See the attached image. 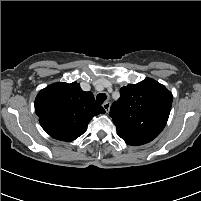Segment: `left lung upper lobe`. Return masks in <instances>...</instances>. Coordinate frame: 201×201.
<instances>
[{
    "instance_id": "obj_1",
    "label": "left lung upper lobe",
    "mask_w": 201,
    "mask_h": 201,
    "mask_svg": "<svg viewBox=\"0 0 201 201\" xmlns=\"http://www.w3.org/2000/svg\"><path fill=\"white\" fill-rule=\"evenodd\" d=\"M120 93L110 110L118 136L140 144L151 142L167 123L172 93L151 78L122 87Z\"/></svg>"
}]
</instances>
